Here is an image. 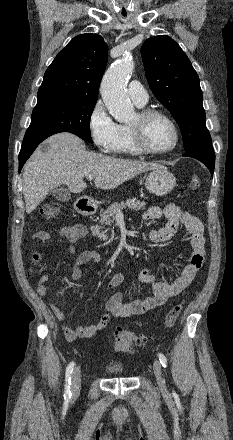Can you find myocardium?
<instances>
[{
  "mask_svg": "<svg viewBox=\"0 0 233 440\" xmlns=\"http://www.w3.org/2000/svg\"><path fill=\"white\" fill-rule=\"evenodd\" d=\"M139 123L137 125H129V131L132 136L133 142L137 150L146 155H164L174 151L180 140V133L178 126L175 121L165 112L159 109L147 108L142 109L137 113ZM153 117H161L165 119L173 129L174 132V142L171 147L164 150L152 149L146 142L145 139V124Z\"/></svg>",
  "mask_w": 233,
  "mask_h": 440,
  "instance_id": "obj_1",
  "label": "myocardium"
}]
</instances>
